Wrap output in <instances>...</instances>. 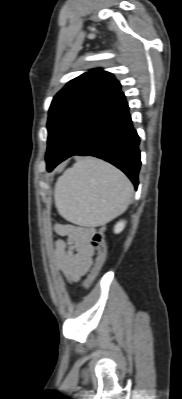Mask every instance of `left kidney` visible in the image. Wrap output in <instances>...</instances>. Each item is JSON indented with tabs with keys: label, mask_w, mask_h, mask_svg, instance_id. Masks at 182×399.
Here are the masks:
<instances>
[{
	"label": "left kidney",
	"mask_w": 182,
	"mask_h": 399,
	"mask_svg": "<svg viewBox=\"0 0 182 399\" xmlns=\"http://www.w3.org/2000/svg\"><path fill=\"white\" fill-rule=\"evenodd\" d=\"M126 221L121 220L119 221L114 227V233L119 234L125 228Z\"/></svg>",
	"instance_id": "5707ae66"
}]
</instances>
